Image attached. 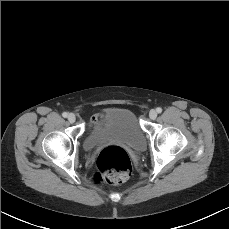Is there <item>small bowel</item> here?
I'll use <instances>...</instances> for the list:
<instances>
[{
	"mask_svg": "<svg viewBox=\"0 0 229 229\" xmlns=\"http://www.w3.org/2000/svg\"><path fill=\"white\" fill-rule=\"evenodd\" d=\"M103 119L102 113H97L92 117L91 125L99 123Z\"/></svg>",
	"mask_w": 229,
	"mask_h": 229,
	"instance_id": "c3829d8e",
	"label": "small bowel"
}]
</instances>
